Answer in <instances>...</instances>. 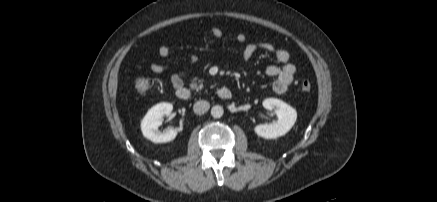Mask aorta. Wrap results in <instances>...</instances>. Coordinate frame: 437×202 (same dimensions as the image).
Listing matches in <instances>:
<instances>
[{"label": "aorta", "instance_id": "aorta-1", "mask_svg": "<svg viewBox=\"0 0 437 202\" xmlns=\"http://www.w3.org/2000/svg\"><path fill=\"white\" fill-rule=\"evenodd\" d=\"M224 110L220 105H215L211 109V115L214 118H221L223 116Z\"/></svg>", "mask_w": 437, "mask_h": 202}]
</instances>
